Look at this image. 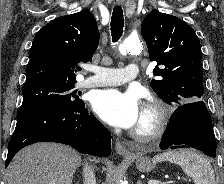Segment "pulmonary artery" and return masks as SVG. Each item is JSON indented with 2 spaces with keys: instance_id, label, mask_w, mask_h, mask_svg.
<instances>
[{
  "instance_id": "1",
  "label": "pulmonary artery",
  "mask_w": 224,
  "mask_h": 184,
  "mask_svg": "<svg viewBox=\"0 0 224 184\" xmlns=\"http://www.w3.org/2000/svg\"><path fill=\"white\" fill-rule=\"evenodd\" d=\"M93 76L83 79L80 83L82 87H100L120 85L136 79L138 76V67L130 63L125 69H115L106 67H92Z\"/></svg>"
}]
</instances>
